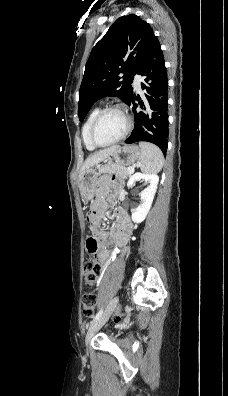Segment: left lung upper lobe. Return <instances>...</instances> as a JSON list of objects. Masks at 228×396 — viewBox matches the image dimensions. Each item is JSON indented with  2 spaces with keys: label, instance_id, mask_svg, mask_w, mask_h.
<instances>
[{
  "label": "left lung upper lobe",
  "instance_id": "obj_1",
  "mask_svg": "<svg viewBox=\"0 0 228 396\" xmlns=\"http://www.w3.org/2000/svg\"><path fill=\"white\" fill-rule=\"evenodd\" d=\"M156 38L150 25L134 14L120 17L110 26L86 63L79 90V120L101 97L117 96L128 103L134 75L140 73Z\"/></svg>",
  "mask_w": 228,
  "mask_h": 396
}]
</instances>
